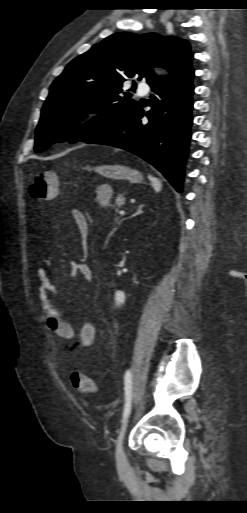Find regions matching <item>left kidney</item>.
<instances>
[{
    "mask_svg": "<svg viewBox=\"0 0 247 513\" xmlns=\"http://www.w3.org/2000/svg\"><path fill=\"white\" fill-rule=\"evenodd\" d=\"M125 301V294L122 291H117L115 293V303L117 306L123 304Z\"/></svg>",
    "mask_w": 247,
    "mask_h": 513,
    "instance_id": "1",
    "label": "left kidney"
}]
</instances>
